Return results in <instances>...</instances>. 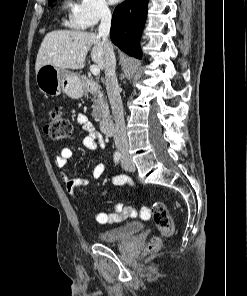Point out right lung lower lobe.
Instances as JSON below:
<instances>
[{
  "label": "right lung lower lobe",
  "instance_id": "1",
  "mask_svg": "<svg viewBox=\"0 0 247 296\" xmlns=\"http://www.w3.org/2000/svg\"><path fill=\"white\" fill-rule=\"evenodd\" d=\"M148 0H126L118 5L112 17V42L130 56L141 57L139 38L147 16Z\"/></svg>",
  "mask_w": 247,
  "mask_h": 296
}]
</instances>
